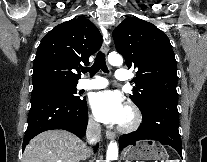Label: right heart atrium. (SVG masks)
I'll list each match as a JSON object with an SVG mask.
<instances>
[{"instance_id":"1","label":"right heart atrium","mask_w":207,"mask_h":162,"mask_svg":"<svg viewBox=\"0 0 207 162\" xmlns=\"http://www.w3.org/2000/svg\"><path fill=\"white\" fill-rule=\"evenodd\" d=\"M90 123L96 125V121L93 118H90Z\"/></svg>"}]
</instances>
